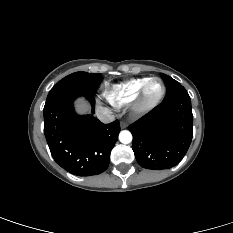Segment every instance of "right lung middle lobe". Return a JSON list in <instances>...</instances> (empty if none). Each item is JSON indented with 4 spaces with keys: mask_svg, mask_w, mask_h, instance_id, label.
<instances>
[{
    "mask_svg": "<svg viewBox=\"0 0 233 233\" xmlns=\"http://www.w3.org/2000/svg\"><path fill=\"white\" fill-rule=\"evenodd\" d=\"M100 73L87 72L72 73L60 80L49 92L45 107L59 100L80 95H94L102 82Z\"/></svg>",
    "mask_w": 233,
    "mask_h": 233,
    "instance_id": "dd1d6c3e",
    "label": "right lung middle lobe"
}]
</instances>
